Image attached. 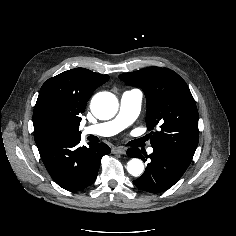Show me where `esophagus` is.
I'll use <instances>...</instances> for the list:
<instances>
[{"mask_svg": "<svg viewBox=\"0 0 236 236\" xmlns=\"http://www.w3.org/2000/svg\"><path fill=\"white\" fill-rule=\"evenodd\" d=\"M111 152L113 154H125L126 153V148H124V147H113Z\"/></svg>", "mask_w": 236, "mask_h": 236, "instance_id": "1", "label": "esophagus"}]
</instances>
